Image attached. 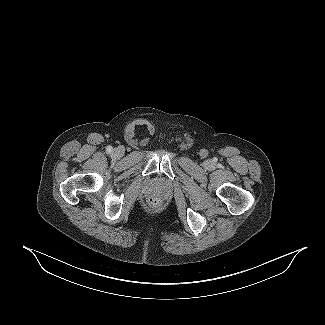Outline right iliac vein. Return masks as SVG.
Segmentation results:
<instances>
[{
  "mask_svg": "<svg viewBox=\"0 0 325 325\" xmlns=\"http://www.w3.org/2000/svg\"><path fill=\"white\" fill-rule=\"evenodd\" d=\"M122 156V150L120 148H115L112 151V157L115 159H119Z\"/></svg>",
  "mask_w": 325,
  "mask_h": 325,
  "instance_id": "obj_1",
  "label": "right iliac vein"
}]
</instances>
